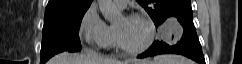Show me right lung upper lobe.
Returning <instances> with one entry per match:
<instances>
[{
  "instance_id": "obj_1",
  "label": "right lung upper lobe",
  "mask_w": 242,
  "mask_h": 64,
  "mask_svg": "<svg viewBox=\"0 0 242 64\" xmlns=\"http://www.w3.org/2000/svg\"><path fill=\"white\" fill-rule=\"evenodd\" d=\"M91 3L92 0H49L45 16L85 12Z\"/></svg>"
}]
</instances>
